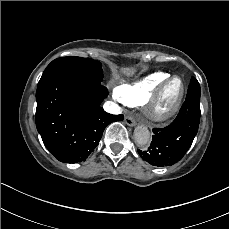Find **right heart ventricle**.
Wrapping results in <instances>:
<instances>
[{"instance_id": "e07e8e85", "label": "right heart ventricle", "mask_w": 229, "mask_h": 229, "mask_svg": "<svg viewBox=\"0 0 229 229\" xmlns=\"http://www.w3.org/2000/svg\"><path fill=\"white\" fill-rule=\"evenodd\" d=\"M171 77V74L164 71L150 72L135 80L121 83L115 93L129 104L145 101L153 97Z\"/></svg>"}]
</instances>
